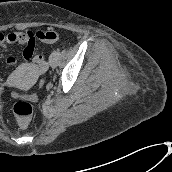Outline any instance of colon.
Listing matches in <instances>:
<instances>
[{
    "label": "colon",
    "mask_w": 172,
    "mask_h": 172,
    "mask_svg": "<svg viewBox=\"0 0 172 172\" xmlns=\"http://www.w3.org/2000/svg\"><path fill=\"white\" fill-rule=\"evenodd\" d=\"M60 33L54 30H47L44 35V41L48 43L55 42L60 38ZM35 63L41 67H45L44 58L42 55H36L34 57ZM44 79L40 80L39 86L42 87L44 84ZM16 96V94H13ZM37 99V95H28L22 97L19 101H17L13 106V112L16 117V120L20 127L26 128L29 124V120L34 112V107L32 102Z\"/></svg>",
    "instance_id": "1"
}]
</instances>
